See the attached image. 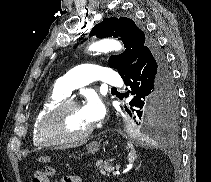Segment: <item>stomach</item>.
I'll list each match as a JSON object with an SVG mask.
<instances>
[{
	"label": "stomach",
	"mask_w": 211,
	"mask_h": 182,
	"mask_svg": "<svg viewBox=\"0 0 211 182\" xmlns=\"http://www.w3.org/2000/svg\"><path fill=\"white\" fill-rule=\"evenodd\" d=\"M99 146H100V143L99 142H97V141L92 142L88 146V152L89 153H95L98 150Z\"/></svg>",
	"instance_id": "0dacf381"
}]
</instances>
